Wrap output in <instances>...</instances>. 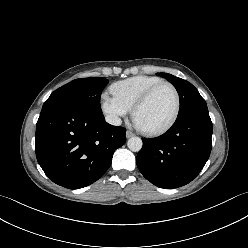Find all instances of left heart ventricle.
Here are the masks:
<instances>
[{"instance_id": "b2bd125f", "label": "left heart ventricle", "mask_w": 248, "mask_h": 248, "mask_svg": "<svg viewBox=\"0 0 248 248\" xmlns=\"http://www.w3.org/2000/svg\"><path fill=\"white\" fill-rule=\"evenodd\" d=\"M175 109V96L172 89L162 86L151 96L138 111L137 123L145 128H156L165 124Z\"/></svg>"}]
</instances>
